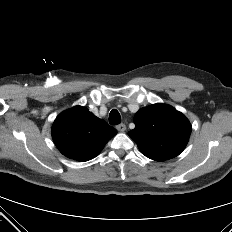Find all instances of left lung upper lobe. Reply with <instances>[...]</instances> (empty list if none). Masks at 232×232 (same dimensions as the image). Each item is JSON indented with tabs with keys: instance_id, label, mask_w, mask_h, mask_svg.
I'll return each instance as SVG.
<instances>
[{
	"instance_id": "1",
	"label": "left lung upper lobe",
	"mask_w": 232,
	"mask_h": 232,
	"mask_svg": "<svg viewBox=\"0 0 232 232\" xmlns=\"http://www.w3.org/2000/svg\"><path fill=\"white\" fill-rule=\"evenodd\" d=\"M135 128L128 135L142 154L155 161L179 155L191 133L188 119L172 106L157 103L141 108L134 116Z\"/></svg>"
}]
</instances>
